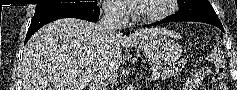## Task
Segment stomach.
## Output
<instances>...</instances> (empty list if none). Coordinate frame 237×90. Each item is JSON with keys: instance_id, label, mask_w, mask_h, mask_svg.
<instances>
[{"instance_id": "obj_1", "label": "stomach", "mask_w": 237, "mask_h": 90, "mask_svg": "<svg viewBox=\"0 0 237 90\" xmlns=\"http://www.w3.org/2000/svg\"><path fill=\"white\" fill-rule=\"evenodd\" d=\"M140 47L148 60L157 65H170L182 54L179 44L162 35L148 37L140 44Z\"/></svg>"}]
</instances>
